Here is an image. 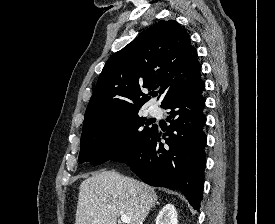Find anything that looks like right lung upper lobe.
<instances>
[{"label":"right lung upper lobe","instance_id":"cb5924a9","mask_svg":"<svg viewBox=\"0 0 275 224\" xmlns=\"http://www.w3.org/2000/svg\"><path fill=\"white\" fill-rule=\"evenodd\" d=\"M196 50L176 21H159L106 62L85 112L83 129L139 110L160 87L164 105L199 75ZM146 88L149 95L144 94Z\"/></svg>","mask_w":275,"mask_h":224}]
</instances>
